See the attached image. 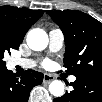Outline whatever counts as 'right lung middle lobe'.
<instances>
[{
	"instance_id": "dd1d6c3e",
	"label": "right lung middle lobe",
	"mask_w": 102,
	"mask_h": 102,
	"mask_svg": "<svg viewBox=\"0 0 102 102\" xmlns=\"http://www.w3.org/2000/svg\"><path fill=\"white\" fill-rule=\"evenodd\" d=\"M17 49L18 46L9 44L8 42L5 41H1L0 40V69H4L5 66V61H3L2 59L4 58V53L5 52H9L10 53V49Z\"/></svg>"
}]
</instances>
